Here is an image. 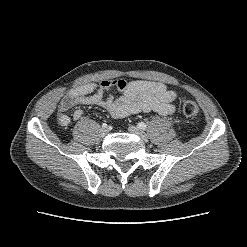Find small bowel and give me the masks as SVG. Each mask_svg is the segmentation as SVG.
<instances>
[{"label":"small bowel","mask_w":247,"mask_h":247,"mask_svg":"<svg viewBox=\"0 0 247 247\" xmlns=\"http://www.w3.org/2000/svg\"><path fill=\"white\" fill-rule=\"evenodd\" d=\"M117 89L121 95L115 98L105 92ZM177 93L164 83L145 80H103L98 84L87 83L70 89L58 106V122L68 126L71 118L68 111L76 105H96L105 109L113 118H125L138 113L157 112L171 115L175 112ZM82 109L73 113V119L83 117Z\"/></svg>","instance_id":"1"}]
</instances>
